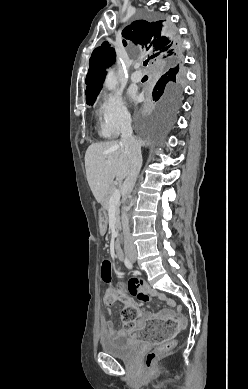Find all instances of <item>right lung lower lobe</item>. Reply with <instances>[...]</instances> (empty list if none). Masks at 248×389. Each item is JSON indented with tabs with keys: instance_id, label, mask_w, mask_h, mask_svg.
<instances>
[{
	"instance_id": "obj_1",
	"label": "right lung lower lobe",
	"mask_w": 248,
	"mask_h": 389,
	"mask_svg": "<svg viewBox=\"0 0 248 389\" xmlns=\"http://www.w3.org/2000/svg\"><path fill=\"white\" fill-rule=\"evenodd\" d=\"M166 24V27H167V31L169 33V36L171 38V41L174 43V45H176V47L178 48V39L176 37V34L171 30L169 24L165 23Z\"/></svg>"
}]
</instances>
